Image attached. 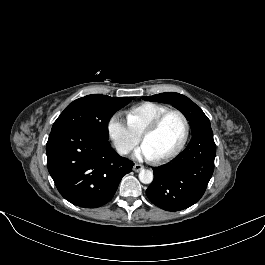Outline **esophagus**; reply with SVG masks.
<instances>
[{
  "label": "esophagus",
  "instance_id": "1",
  "mask_svg": "<svg viewBox=\"0 0 265 265\" xmlns=\"http://www.w3.org/2000/svg\"><path fill=\"white\" fill-rule=\"evenodd\" d=\"M143 169H144V166L141 165V164H138V163H136V164L133 166V171H135V172H139V171H141V170H143Z\"/></svg>",
  "mask_w": 265,
  "mask_h": 265
}]
</instances>
